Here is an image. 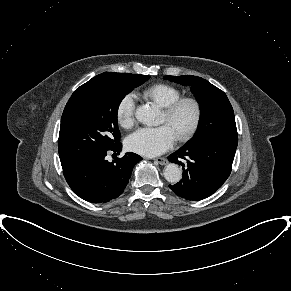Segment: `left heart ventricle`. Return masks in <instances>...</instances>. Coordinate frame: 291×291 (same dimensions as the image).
Returning <instances> with one entry per match:
<instances>
[{"label":"left heart ventricle","instance_id":"left-heart-ventricle-1","mask_svg":"<svg viewBox=\"0 0 291 291\" xmlns=\"http://www.w3.org/2000/svg\"><path fill=\"white\" fill-rule=\"evenodd\" d=\"M192 119L193 109L190 105H185L172 119H168L163 113L161 123L168 125L177 137L188 129Z\"/></svg>","mask_w":291,"mask_h":291}]
</instances>
